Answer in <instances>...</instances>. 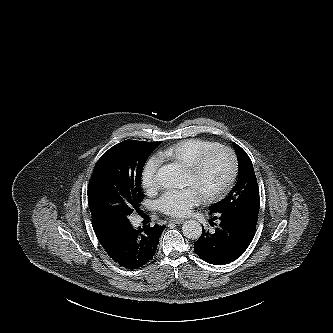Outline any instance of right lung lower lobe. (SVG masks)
I'll return each instance as SVG.
<instances>
[{
	"label": "right lung lower lobe",
	"mask_w": 333,
	"mask_h": 333,
	"mask_svg": "<svg viewBox=\"0 0 333 333\" xmlns=\"http://www.w3.org/2000/svg\"><path fill=\"white\" fill-rule=\"evenodd\" d=\"M165 226L147 225L145 230L133 229L131 224L118 229L105 239H99L108 255L120 266L138 269L148 263L156 253L161 232Z\"/></svg>",
	"instance_id": "98d812e1"
}]
</instances>
